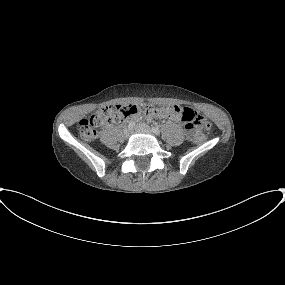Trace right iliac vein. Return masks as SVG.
<instances>
[{
	"label": "right iliac vein",
	"instance_id": "right-iliac-vein-1",
	"mask_svg": "<svg viewBox=\"0 0 285 285\" xmlns=\"http://www.w3.org/2000/svg\"><path fill=\"white\" fill-rule=\"evenodd\" d=\"M132 134V129L131 128H126L124 129V136L128 138Z\"/></svg>",
	"mask_w": 285,
	"mask_h": 285
}]
</instances>
